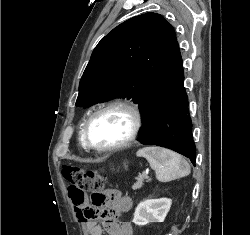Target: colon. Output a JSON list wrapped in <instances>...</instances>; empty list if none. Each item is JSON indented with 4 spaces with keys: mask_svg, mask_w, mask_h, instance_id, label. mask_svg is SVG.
<instances>
[{
    "mask_svg": "<svg viewBox=\"0 0 250 235\" xmlns=\"http://www.w3.org/2000/svg\"><path fill=\"white\" fill-rule=\"evenodd\" d=\"M63 176L69 184L68 194L75 206L83 205L88 196L91 205L95 208L107 201L105 179L100 172L84 170L77 165L67 164L63 167ZM96 215V211H92L90 218H95Z\"/></svg>",
    "mask_w": 250,
    "mask_h": 235,
    "instance_id": "1",
    "label": "colon"
}]
</instances>
